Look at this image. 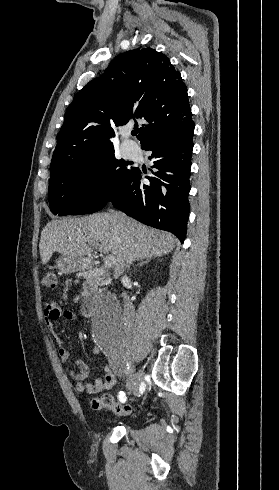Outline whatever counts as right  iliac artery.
<instances>
[{"mask_svg": "<svg viewBox=\"0 0 279 490\" xmlns=\"http://www.w3.org/2000/svg\"><path fill=\"white\" fill-rule=\"evenodd\" d=\"M118 398L121 402H125L126 401V395L123 391H120L119 392V395H118Z\"/></svg>", "mask_w": 279, "mask_h": 490, "instance_id": "1", "label": "right iliac artery"}]
</instances>
